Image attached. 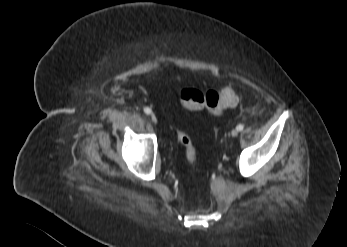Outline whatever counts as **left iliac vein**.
Wrapping results in <instances>:
<instances>
[{"label": "left iliac vein", "instance_id": "obj_1", "mask_svg": "<svg viewBox=\"0 0 347 247\" xmlns=\"http://www.w3.org/2000/svg\"><path fill=\"white\" fill-rule=\"evenodd\" d=\"M232 137H236L238 135V130L234 129L231 132Z\"/></svg>", "mask_w": 347, "mask_h": 247}]
</instances>
